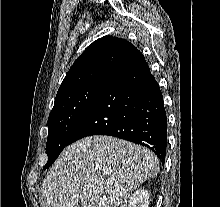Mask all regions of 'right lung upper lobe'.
<instances>
[{"mask_svg": "<svg viewBox=\"0 0 220 207\" xmlns=\"http://www.w3.org/2000/svg\"><path fill=\"white\" fill-rule=\"evenodd\" d=\"M142 59L143 54L127 40L104 36L90 44L76 59L56 96L90 82L107 79Z\"/></svg>", "mask_w": 220, "mask_h": 207, "instance_id": "cb5924a9", "label": "right lung upper lobe"}]
</instances>
